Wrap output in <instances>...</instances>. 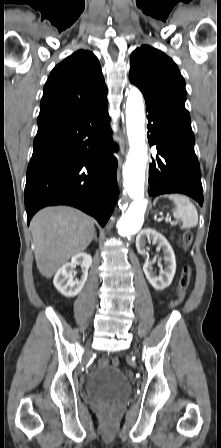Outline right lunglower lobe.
<instances>
[{"instance_id":"1","label":"right lung lower lobe","mask_w":221,"mask_h":448,"mask_svg":"<svg viewBox=\"0 0 221 448\" xmlns=\"http://www.w3.org/2000/svg\"><path fill=\"white\" fill-rule=\"evenodd\" d=\"M27 169V223L48 205H70L108 221L118 196L107 99L37 132Z\"/></svg>"}]
</instances>
